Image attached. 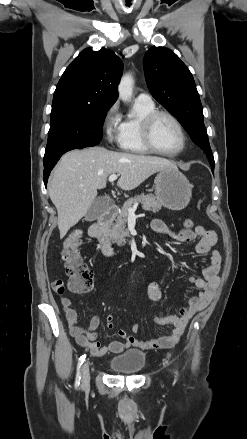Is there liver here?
<instances>
[{
    "mask_svg": "<svg viewBox=\"0 0 247 439\" xmlns=\"http://www.w3.org/2000/svg\"><path fill=\"white\" fill-rule=\"evenodd\" d=\"M169 167L176 165L168 159L118 153L103 147L67 152L56 165L48 185L58 213L60 238L86 215L97 190L106 187L108 176L121 175L117 186L132 190L152 174Z\"/></svg>",
    "mask_w": 247,
    "mask_h": 439,
    "instance_id": "1",
    "label": "liver"
}]
</instances>
